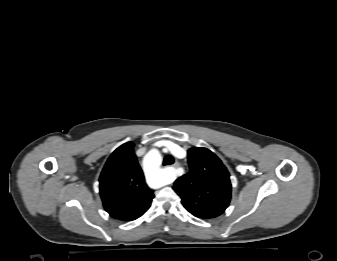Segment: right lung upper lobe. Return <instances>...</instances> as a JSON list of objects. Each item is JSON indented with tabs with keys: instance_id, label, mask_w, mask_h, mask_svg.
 <instances>
[{
	"instance_id": "1",
	"label": "right lung upper lobe",
	"mask_w": 337,
	"mask_h": 261,
	"mask_svg": "<svg viewBox=\"0 0 337 261\" xmlns=\"http://www.w3.org/2000/svg\"><path fill=\"white\" fill-rule=\"evenodd\" d=\"M134 144L127 142L108 158L100 175V195L111 217L132 221L143 215L151 205L153 190L145 183Z\"/></svg>"
}]
</instances>
